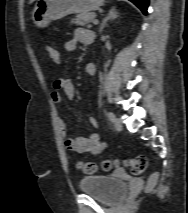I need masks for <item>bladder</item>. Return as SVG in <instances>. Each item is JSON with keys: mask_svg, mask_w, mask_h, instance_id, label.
Masks as SVG:
<instances>
[{"mask_svg": "<svg viewBox=\"0 0 188 213\" xmlns=\"http://www.w3.org/2000/svg\"><path fill=\"white\" fill-rule=\"evenodd\" d=\"M126 189V183L115 175L91 174L82 177L79 181L81 192L106 205L119 202L126 193Z\"/></svg>", "mask_w": 188, "mask_h": 213, "instance_id": "31cf9c89", "label": "bladder"}]
</instances>
